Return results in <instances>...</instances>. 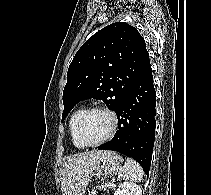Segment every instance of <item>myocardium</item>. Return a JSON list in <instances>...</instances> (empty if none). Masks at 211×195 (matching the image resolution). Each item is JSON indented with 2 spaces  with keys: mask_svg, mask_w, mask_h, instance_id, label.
<instances>
[{
  "mask_svg": "<svg viewBox=\"0 0 211 195\" xmlns=\"http://www.w3.org/2000/svg\"><path fill=\"white\" fill-rule=\"evenodd\" d=\"M95 111H100V112L106 113L111 119V127H110L109 132L101 140L94 142V143H87V142L83 141L81 134H80V129H81V125H82L84 118L89 113L95 112ZM117 128H118V117H117V114L112 109L105 107V106H93L88 109H85L79 116L77 123H76V136H77L78 141L80 142V144L83 147H97V146L104 144L109 139H111L113 137V135L115 134Z\"/></svg>",
  "mask_w": 211,
  "mask_h": 195,
  "instance_id": "myocardium-1",
  "label": "myocardium"
}]
</instances>
